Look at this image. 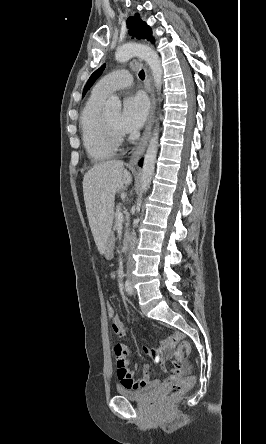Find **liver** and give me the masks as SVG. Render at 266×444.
<instances>
[{"instance_id": "6515ba94", "label": "liver", "mask_w": 266, "mask_h": 444, "mask_svg": "<svg viewBox=\"0 0 266 444\" xmlns=\"http://www.w3.org/2000/svg\"><path fill=\"white\" fill-rule=\"evenodd\" d=\"M132 176L122 161H107L93 166L83 178V193L89 225L100 254L111 236L115 194L130 185Z\"/></svg>"}]
</instances>
